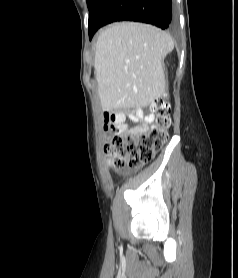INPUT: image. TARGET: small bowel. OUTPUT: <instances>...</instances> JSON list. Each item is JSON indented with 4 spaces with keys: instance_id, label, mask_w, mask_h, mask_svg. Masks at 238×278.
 <instances>
[{
    "instance_id": "obj_1",
    "label": "small bowel",
    "mask_w": 238,
    "mask_h": 278,
    "mask_svg": "<svg viewBox=\"0 0 238 278\" xmlns=\"http://www.w3.org/2000/svg\"><path fill=\"white\" fill-rule=\"evenodd\" d=\"M129 118L137 123L135 127L128 128L126 124V115L122 112H111L104 114V122L106 127L109 126L113 134L127 130L136 131L140 129H146L148 124L153 121L154 116L152 114L145 115L141 109H135L129 115Z\"/></svg>"
}]
</instances>
